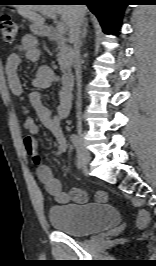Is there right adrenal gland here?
Segmentation results:
<instances>
[{
    "label": "right adrenal gland",
    "mask_w": 156,
    "mask_h": 266,
    "mask_svg": "<svg viewBox=\"0 0 156 266\" xmlns=\"http://www.w3.org/2000/svg\"><path fill=\"white\" fill-rule=\"evenodd\" d=\"M88 33V20H84L83 22V26H82V32H81V37H80V43L82 45V42L85 38V36L87 35Z\"/></svg>",
    "instance_id": "1"
}]
</instances>
